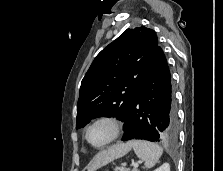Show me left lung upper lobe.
I'll return each instance as SVG.
<instances>
[{
  "label": "left lung upper lobe",
  "instance_id": "left-lung-upper-lobe-1",
  "mask_svg": "<svg viewBox=\"0 0 223 171\" xmlns=\"http://www.w3.org/2000/svg\"><path fill=\"white\" fill-rule=\"evenodd\" d=\"M158 46L156 33L142 26L125 30L96 56L81 82L77 129L101 116L125 121Z\"/></svg>",
  "mask_w": 223,
  "mask_h": 171
}]
</instances>
